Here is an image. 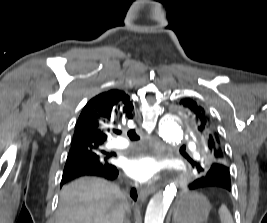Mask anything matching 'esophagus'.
<instances>
[{
	"mask_svg": "<svg viewBox=\"0 0 267 223\" xmlns=\"http://www.w3.org/2000/svg\"><path fill=\"white\" fill-rule=\"evenodd\" d=\"M153 153L157 158H167L169 156V149L159 138H153L150 142ZM155 191V187H150L142 189L140 191L139 197L141 201H145L147 196Z\"/></svg>",
	"mask_w": 267,
	"mask_h": 223,
	"instance_id": "esophagus-1",
	"label": "esophagus"
}]
</instances>
